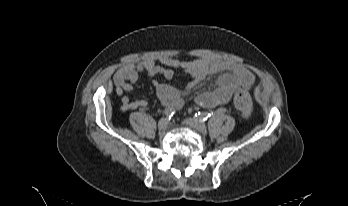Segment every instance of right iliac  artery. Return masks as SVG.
<instances>
[{
  "instance_id": "1",
  "label": "right iliac artery",
  "mask_w": 348,
  "mask_h": 206,
  "mask_svg": "<svg viewBox=\"0 0 348 206\" xmlns=\"http://www.w3.org/2000/svg\"><path fill=\"white\" fill-rule=\"evenodd\" d=\"M164 114L167 116V117H171V116H173L174 114H175V109H173V108H166L165 110H164Z\"/></svg>"
}]
</instances>
